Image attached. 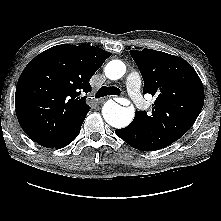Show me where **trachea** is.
<instances>
[{
	"instance_id": "trachea-1",
	"label": "trachea",
	"mask_w": 221,
	"mask_h": 221,
	"mask_svg": "<svg viewBox=\"0 0 221 221\" xmlns=\"http://www.w3.org/2000/svg\"><path fill=\"white\" fill-rule=\"evenodd\" d=\"M121 94V91L119 88L117 87H114V86H111V87H107V86H102L97 94H96V97H104V96H107V95H120Z\"/></svg>"
}]
</instances>
